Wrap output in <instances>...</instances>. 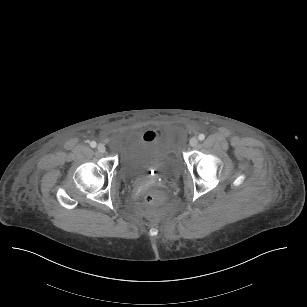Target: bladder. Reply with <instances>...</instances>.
I'll list each match as a JSON object with an SVG mask.
<instances>
[{"mask_svg": "<svg viewBox=\"0 0 307 307\" xmlns=\"http://www.w3.org/2000/svg\"><path fill=\"white\" fill-rule=\"evenodd\" d=\"M153 170H162L172 175L180 171L179 158L172 147L156 141L143 140L122 150L119 160L122 178L143 180Z\"/></svg>", "mask_w": 307, "mask_h": 307, "instance_id": "31cf9c89", "label": "bladder"}]
</instances>
